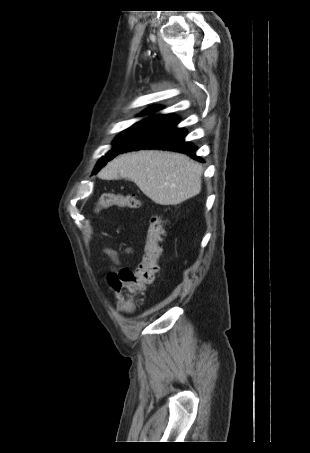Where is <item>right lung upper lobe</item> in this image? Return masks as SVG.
Wrapping results in <instances>:
<instances>
[{
	"label": "right lung upper lobe",
	"instance_id": "1",
	"mask_svg": "<svg viewBox=\"0 0 310 453\" xmlns=\"http://www.w3.org/2000/svg\"><path fill=\"white\" fill-rule=\"evenodd\" d=\"M157 110H158V107H152V108L148 109L146 112H144V114L153 113V112H155V111H157ZM161 116H162V115H154V116H151V117H149V118H156V119H158V118H160Z\"/></svg>",
	"mask_w": 310,
	"mask_h": 453
}]
</instances>
